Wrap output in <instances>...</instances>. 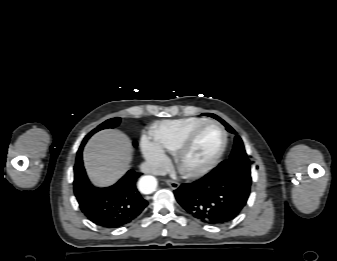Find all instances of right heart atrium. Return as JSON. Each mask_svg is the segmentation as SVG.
Listing matches in <instances>:
<instances>
[{"label": "right heart atrium", "instance_id": "1", "mask_svg": "<svg viewBox=\"0 0 337 261\" xmlns=\"http://www.w3.org/2000/svg\"><path fill=\"white\" fill-rule=\"evenodd\" d=\"M141 149L144 157L154 171L158 172L166 166L167 157L165 153L148 137L142 138Z\"/></svg>", "mask_w": 337, "mask_h": 261}]
</instances>
